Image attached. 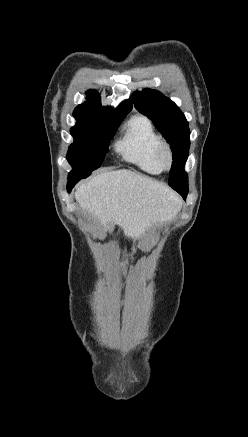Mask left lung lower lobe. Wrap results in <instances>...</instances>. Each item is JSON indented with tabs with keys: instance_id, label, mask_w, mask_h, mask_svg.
<instances>
[{
	"instance_id": "1",
	"label": "left lung lower lobe",
	"mask_w": 248,
	"mask_h": 437,
	"mask_svg": "<svg viewBox=\"0 0 248 437\" xmlns=\"http://www.w3.org/2000/svg\"><path fill=\"white\" fill-rule=\"evenodd\" d=\"M187 195H182V197L185 199Z\"/></svg>"
}]
</instances>
